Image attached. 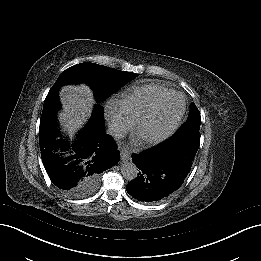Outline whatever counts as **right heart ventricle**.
Returning <instances> with one entry per match:
<instances>
[{
    "label": "right heart ventricle",
    "instance_id": "e07e8e85",
    "mask_svg": "<svg viewBox=\"0 0 261 261\" xmlns=\"http://www.w3.org/2000/svg\"><path fill=\"white\" fill-rule=\"evenodd\" d=\"M173 92V89L160 83L142 85L126 93L118 101V106L129 116L145 115Z\"/></svg>",
    "mask_w": 261,
    "mask_h": 261
}]
</instances>
